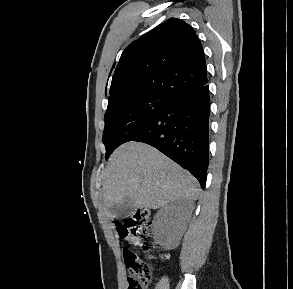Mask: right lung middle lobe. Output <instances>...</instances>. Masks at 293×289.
I'll use <instances>...</instances> for the list:
<instances>
[{
	"label": "right lung middle lobe",
	"instance_id": "dd1d6c3e",
	"mask_svg": "<svg viewBox=\"0 0 293 289\" xmlns=\"http://www.w3.org/2000/svg\"><path fill=\"white\" fill-rule=\"evenodd\" d=\"M171 100L159 94H145L128 97L108 106L105 113V128L103 142L106 156L144 124L162 111Z\"/></svg>",
	"mask_w": 293,
	"mask_h": 289
}]
</instances>
